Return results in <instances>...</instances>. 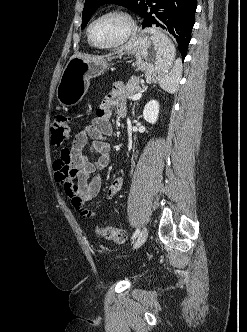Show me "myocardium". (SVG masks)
Wrapping results in <instances>:
<instances>
[{
	"label": "myocardium",
	"instance_id": "f54148a6",
	"mask_svg": "<svg viewBox=\"0 0 247 332\" xmlns=\"http://www.w3.org/2000/svg\"><path fill=\"white\" fill-rule=\"evenodd\" d=\"M111 15L120 16V17L124 18L127 21V23H128V29H127L126 33L124 34V36L120 40H118L117 42L112 43V44L100 45V44L95 43L93 41L92 37H91L92 26L94 25V23L97 20H99V19H101L103 17H106V16H111ZM136 30H137L136 23H135L134 19L131 17L130 14H128L125 11L117 10V9L108 10V11H105V12L101 13L97 17H95L89 23V25L87 27V39H88V42L93 47H95V48H99V49H116V48H119V47L123 46L124 44H126L134 36V34L136 33Z\"/></svg>",
	"mask_w": 247,
	"mask_h": 332
}]
</instances>
